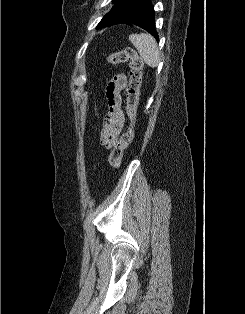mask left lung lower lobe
I'll list each match as a JSON object with an SVG mask.
<instances>
[{"mask_svg":"<svg viewBox=\"0 0 245 314\" xmlns=\"http://www.w3.org/2000/svg\"><path fill=\"white\" fill-rule=\"evenodd\" d=\"M128 23H132L143 28L153 35L156 40H158V35L155 30L154 10L150 0H147L140 12Z\"/></svg>","mask_w":245,"mask_h":314,"instance_id":"0a47b994","label":"left lung lower lobe"}]
</instances>
